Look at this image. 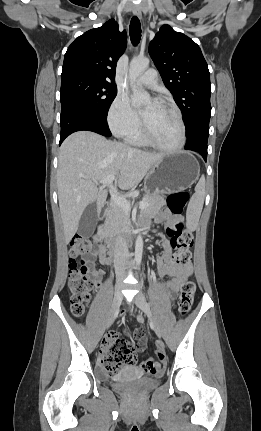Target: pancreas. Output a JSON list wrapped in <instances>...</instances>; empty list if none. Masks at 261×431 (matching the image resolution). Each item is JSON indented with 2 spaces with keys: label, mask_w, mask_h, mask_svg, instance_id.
I'll return each mask as SVG.
<instances>
[{
  "label": "pancreas",
  "mask_w": 261,
  "mask_h": 431,
  "mask_svg": "<svg viewBox=\"0 0 261 431\" xmlns=\"http://www.w3.org/2000/svg\"><path fill=\"white\" fill-rule=\"evenodd\" d=\"M142 201L148 203V206L141 210V214L143 215L155 214L166 204L165 198L160 194L146 195ZM128 220L129 211L113 203L107 212L105 233L112 234L113 232L123 230Z\"/></svg>",
  "instance_id": "cf45deb5"
}]
</instances>
